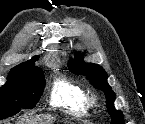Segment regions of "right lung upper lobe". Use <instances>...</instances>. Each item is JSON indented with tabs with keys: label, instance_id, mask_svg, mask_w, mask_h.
<instances>
[{
	"label": "right lung upper lobe",
	"instance_id": "1",
	"mask_svg": "<svg viewBox=\"0 0 145 124\" xmlns=\"http://www.w3.org/2000/svg\"><path fill=\"white\" fill-rule=\"evenodd\" d=\"M37 60H38V57L35 56L31 60H29L28 62L20 64V65L14 67L10 71L8 77H14V76L23 75V74L31 72L35 68H38V67L34 66V62L37 61Z\"/></svg>",
	"mask_w": 145,
	"mask_h": 124
}]
</instances>
